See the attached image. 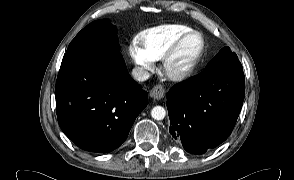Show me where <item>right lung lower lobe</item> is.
I'll list each match as a JSON object with an SVG mask.
<instances>
[{
  "mask_svg": "<svg viewBox=\"0 0 294 180\" xmlns=\"http://www.w3.org/2000/svg\"><path fill=\"white\" fill-rule=\"evenodd\" d=\"M55 97L62 131L97 153L118 148L148 104V93L129 76L118 49L62 62Z\"/></svg>",
  "mask_w": 294,
  "mask_h": 180,
  "instance_id": "1",
  "label": "right lung lower lobe"
}]
</instances>
